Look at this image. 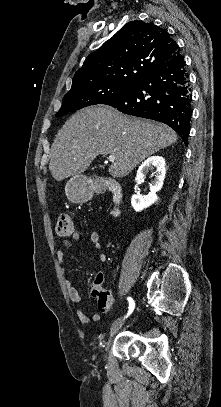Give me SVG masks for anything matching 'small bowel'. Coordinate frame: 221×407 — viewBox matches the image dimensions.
<instances>
[{
    "instance_id": "small-bowel-1",
    "label": "small bowel",
    "mask_w": 221,
    "mask_h": 407,
    "mask_svg": "<svg viewBox=\"0 0 221 407\" xmlns=\"http://www.w3.org/2000/svg\"><path fill=\"white\" fill-rule=\"evenodd\" d=\"M89 238L90 240L99 248L100 247V234L95 231L92 230L89 233ZM81 239V236L78 232H74L70 237L67 238H63L60 242V246L56 251V258L58 261L62 262L64 260L65 254L66 252H68L71 248V244L72 242L75 241H79ZM99 259L101 261H104L106 259V256L104 253H100L99 254ZM104 272L101 270L96 271L93 274V279H92V283H101L104 280ZM64 285H65V289L67 292V295L69 297V299L76 304L81 303L82 301V297L78 291V289L76 288V286L74 285V283L67 277H64ZM91 297L95 300L98 301V296H95L92 292L91 289ZM105 296L111 301V296L110 294H106ZM77 317L80 320V322H82L83 324H89L91 321H98L100 319L98 314H94L93 316H89L88 314H86L85 312L78 310L77 311Z\"/></svg>"
}]
</instances>
